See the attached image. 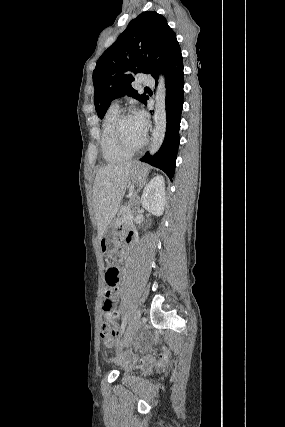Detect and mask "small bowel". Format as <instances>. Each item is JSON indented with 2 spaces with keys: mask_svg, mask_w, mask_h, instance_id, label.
Wrapping results in <instances>:
<instances>
[{
  "mask_svg": "<svg viewBox=\"0 0 285 427\" xmlns=\"http://www.w3.org/2000/svg\"><path fill=\"white\" fill-rule=\"evenodd\" d=\"M134 236V233L129 231L127 232L126 236L124 237V241L126 243H130L132 237ZM120 300V294H119V289L118 288H114L111 290V292L105 293L103 300H102V310L105 313L108 308L107 305L110 304L111 308L114 309L115 305L119 302Z\"/></svg>",
  "mask_w": 285,
  "mask_h": 427,
  "instance_id": "obj_1",
  "label": "small bowel"
}]
</instances>
